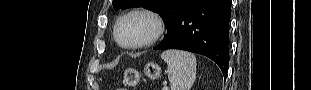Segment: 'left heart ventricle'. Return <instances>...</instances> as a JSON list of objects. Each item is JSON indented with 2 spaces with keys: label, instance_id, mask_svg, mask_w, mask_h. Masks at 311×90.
Wrapping results in <instances>:
<instances>
[{
  "label": "left heart ventricle",
  "instance_id": "b2bd125f",
  "mask_svg": "<svg viewBox=\"0 0 311 90\" xmlns=\"http://www.w3.org/2000/svg\"><path fill=\"white\" fill-rule=\"evenodd\" d=\"M152 30L151 22L143 17H131L122 22L118 36L123 43L138 42L146 38Z\"/></svg>",
  "mask_w": 311,
  "mask_h": 90
}]
</instances>
